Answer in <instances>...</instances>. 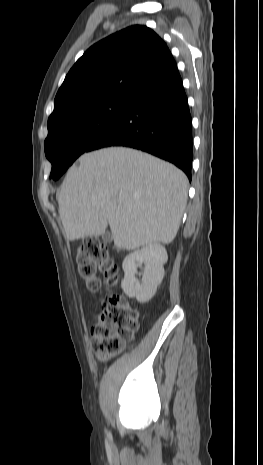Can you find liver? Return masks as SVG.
<instances>
[{
  "instance_id": "liver-1",
  "label": "liver",
  "mask_w": 263,
  "mask_h": 465,
  "mask_svg": "<svg viewBox=\"0 0 263 465\" xmlns=\"http://www.w3.org/2000/svg\"><path fill=\"white\" fill-rule=\"evenodd\" d=\"M187 192V177L174 165L130 148H104L82 155L68 171L59 214L70 241L99 236L109 225L119 249L169 244Z\"/></svg>"
}]
</instances>
